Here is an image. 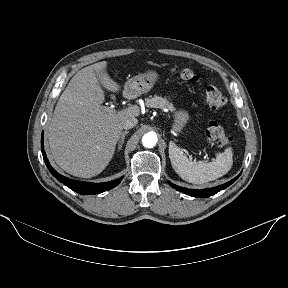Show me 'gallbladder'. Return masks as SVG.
Segmentation results:
<instances>
[{"mask_svg": "<svg viewBox=\"0 0 288 288\" xmlns=\"http://www.w3.org/2000/svg\"><path fill=\"white\" fill-rule=\"evenodd\" d=\"M105 73H107L106 71H100V73L99 74H97V77H98V82H99V85L101 86V87H104L103 86V84H102V75L103 74H105Z\"/></svg>", "mask_w": 288, "mask_h": 288, "instance_id": "bac80fb5", "label": "gallbladder"}]
</instances>
